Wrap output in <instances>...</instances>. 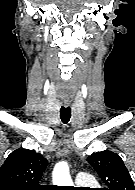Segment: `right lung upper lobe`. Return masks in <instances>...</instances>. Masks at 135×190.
<instances>
[{
	"label": "right lung upper lobe",
	"instance_id": "obj_1",
	"mask_svg": "<svg viewBox=\"0 0 135 190\" xmlns=\"http://www.w3.org/2000/svg\"><path fill=\"white\" fill-rule=\"evenodd\" d=\"M47 160L29 149H16L0 167V190H41Z\"/></svg>",
	"mask_w": 135,
	"mask_h": 190
}]
</instances>
